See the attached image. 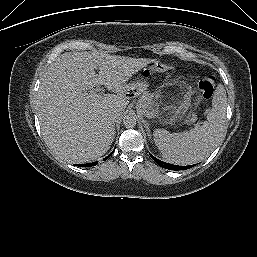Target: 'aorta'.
Listing matches in <instances>:
<instances>
[{
  "instance_id": "1",
  "label": "aorta",
  "mask_w": 257,
  "mask_h": 257,
  "mask_svg": "<svg viewBox=\"0 0 257 257\" xmlns=\"http://www.w3.org/2000/svg\"><path fill=\"white\" fill-rule=\"evenodd\" d=\"M136 122H137V117L133 113H129L123 118V124L126 128H133L136 125Z\"/></svg>"
}]
</instances>
